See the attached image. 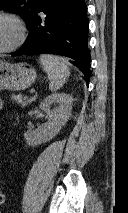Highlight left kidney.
<instances>
[{
	"label": "left kidney",
	"mask_w": 128,
	"mask_h": 213,
	"mask_svg": "<svg viewBox=\"0 0 128 213\" xmlns=\"http://www.w3.org/2000/svg\"><path fill=\"white\" fill-rule=\"evenodd\" d=\"M58 106L51 109V105ZM73 97L66 93H56L46 97L40 104V109L48 116V121L36 130H28L24 138L28 145L37 146L53 139L66 124L72 110Z\"/></svg>",
	"instance_id": "5707ae66"
}]
</instances>
